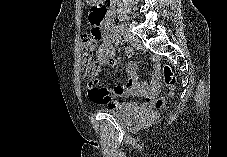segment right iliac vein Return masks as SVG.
<instances>
[{"instance_id":"right-iliac-vein-1","label":"right iliac vein","mask_w":227,"mask_h":157,"mask_svg":"<svg viewBox=\"0 0 227 157\" xmlns=\"http://www.w3.org/2000/svg\"><path fill=\"white\" fill-rule=\"evenodd\" d=\"M121 32L124 36H126L127 42H129L130 44L134 45L138 43L137 37H135L133 34L128 32L126 29L121 28Z\"/></svg>"}]
</instances>
